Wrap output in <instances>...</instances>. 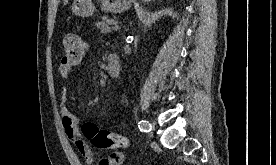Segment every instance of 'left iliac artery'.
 <instances>
[{
  "label": "left iliac artery",
  "mask_w": 276,
  "mask_h": 165,
  "mask_svg": "<svg viewBox=\"0 0 276 165\" xmlns=\"http://www.w3.org/2000/svg\"><path fill=\"white\" fill-rule=\"evenodd\" d=\"M138 127L142 132H150L151 131V124L147 120H142L138 123Z\"/></svg>",
  "instance_id": "left-iliac-artery-1"
}]
</instances>
